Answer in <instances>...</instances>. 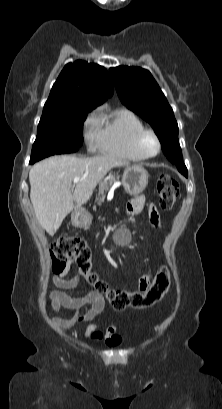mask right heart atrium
I'll return each instance as SVG.
<instances>
[{"instance_id":"1","label":"right heart atrium","mask_w":222,"mask_h":409,"mask_svg":"<svg viewBox=\"0 0 222 409\" xmlns=\"http://www.w3.org/2000/svg\"><path fill=\"white\" fill-rule=\"evenodd\" d=\"M100 134V118L96 111L91 112L86 117L83 123V135L87 147L94 150L98 147V139Z\"/></svg>"}]
</instances>
